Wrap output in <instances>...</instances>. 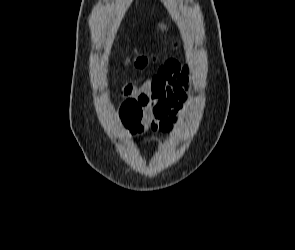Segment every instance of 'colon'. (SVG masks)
I'll use <instances>...</instances> for the list:
<instances>
[{
  "label": "colon",
  "mask_w": 295,
  "mask_h": 250,
  "mask_svg": "<svg viewBox=\"0 0 295 250\" xmlns=\"http://www.w3.org/2000/svg\"><path fill=\"white\" fill-rule=\"evenodd\" d=\"M149 62L146 56H139L133 60L137 68H143ZM120 118L125 126L134 128L139 125L143 118V109L140 103L135 99H126L119 109Z\"/></svg>",
  "instance_id": "colon-1"
}]
</instances>
